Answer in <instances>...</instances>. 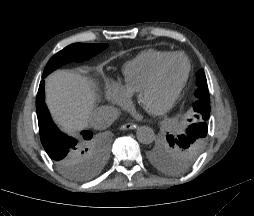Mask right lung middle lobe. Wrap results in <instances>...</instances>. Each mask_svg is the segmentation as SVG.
Masks as SVG:
<instances>
[{
    "instance_id": "dd1d6c3e",
    "label": "right lung middle lobe",
    "mask_w": 254,
    "mask_h": 216,
    "mask_svg": "<svg viewBox=\"0 0 254 216\" xmlns=\"http://www.w3.org/2000/svg\"><path fill=\"white\" fill-rule=\"evenodd\" d=\"M108 45L107 44H72L56 53L47 63L43 78H45L49 73L60 67L61 65L71 62V61H83L88 60L91 57L97 55L101 51H103ZM93 140V144L90 150V157L92 160V172L89 174H85L79 162H72L68 166L58 167L64 174L68 177L73 178L75 180H87L92 176L96 175L101 168L103 167L106 158H107V148L106 146L99 142Z\"/></svg>"
}]
</instances>
